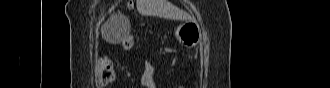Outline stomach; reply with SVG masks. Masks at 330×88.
<instances>
[{
  "label": "stomach",
  "instance_id": "0dacf381",
  "mask_svg": "<svg viewBox=\"0 0 330 88\" xmlns=\"http://www.w3.org/2000/svg\"><path fill=\"white\" fill-rule=\"evenodd\" d=\"M175 35L182 45L195 47L201 40V29L196 22L186 21L177 27Z\"/></svg>",
  "mask_w": 330,
  "mask_h": 88
}]
</instances>
